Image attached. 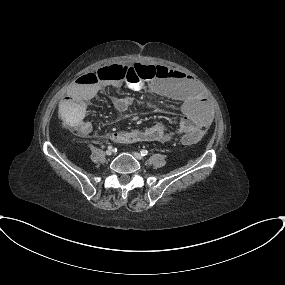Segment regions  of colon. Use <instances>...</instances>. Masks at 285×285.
Masks as SVG:
<instances>
[{"label":"colon","mask_w":285,"mask_h":285,"mask_svg":"<svg viewBox=\"0 0 285 285\" xmlns=\"http://www.w3.org/2000/svg\"><path fill=\"white\" fill-rule=\"evenodd\" d=\"M119 71L118 65H112L106 68H102L89 73H81L77 77V81L81 83H95L99 80L106 78L115 77ZM130 72L135 74L140 81H152L156 78H162L167 76V69L162 66H153L148 64H135L130 68ZM80 119L77 118L75 121L71 122L70 126L77 128ZM202 134L199 130H194L182 137V142L184 144L190 145L195 144L201 140Z\"/></svg>","instance_id":"obj_1"}]
</instances>
